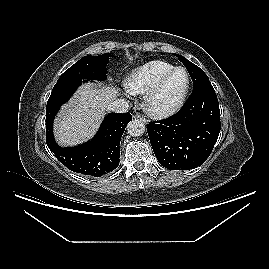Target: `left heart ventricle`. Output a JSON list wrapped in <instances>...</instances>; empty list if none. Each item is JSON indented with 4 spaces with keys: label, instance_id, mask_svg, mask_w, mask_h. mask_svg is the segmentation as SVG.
Masks as SVG:
<instances>
[{
    "label": "left heart ventricle",
    "instance_id": "b2bd125f",
    "mask_svg": "<svg viewBox=\"0 0 269 269\" xmlns=\"http://www.w3.org/2000/svg\"><path fill=\"white\" fill-rule=\"evenodd\" d=\"M186 84V75L183 71L176 72L166 83L160 93L157 104L158 106H168L173 103L182 93Z\"/></svg>",
    "mask_w": 269,
    "mask_h": 269
}]
</instances>
